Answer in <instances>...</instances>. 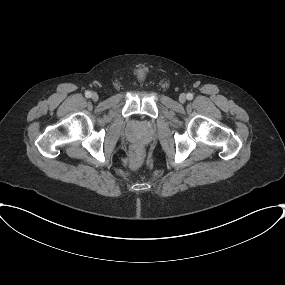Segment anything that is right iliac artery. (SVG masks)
<instances>
[{"instance_id": "1", "label": "right iliac artery", "mask_w": 285, "mask_h": 285, "mask_svg": "<svg viewBox=\"0 0 285 285\" xmlns=\"http://www.w3.org/2000/svg\"><path fill=\"white\" fill-rule=\"evenodd\" d=\"M85 96H86L87 98H90V97L92 96V93H91L90 91H86V92H85Z\"/></svg>"}]
</instances>
